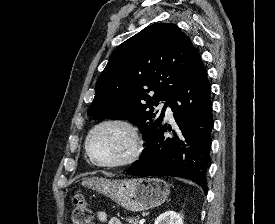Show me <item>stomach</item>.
<instances>
[{
	"label": "stomach",
	"instance_id": "obj_1",
	"mask_svg": "<svg viewBox=\"0 0 275 224\" xmlns=\"http://www.w3.org/2000/svg\"><path fill=\"white\" fill-rule=\"evenodd\" d=\"M82 185L106 195L133 212L158 207L169 195L167 183L158 178L110 180L93 177L85 179Z\"/></svg>",
	"mask_w": 275,
	"mask_h": 224
}]
</instances>
